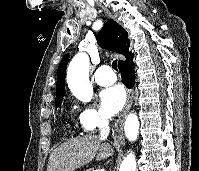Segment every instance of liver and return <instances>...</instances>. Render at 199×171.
<instances>
[{
    "instance_id": "liver-1",
    "label": "liver",
    "mask_w": 199,
    "mask_h": 171,
    "mask_svg": "<svg viewBox=\"0 0 199 171\" xmlns=\"http://www.w3.org/2000/svg\"><path fill=\"white\" fill-rule=\"evenodd\" d=\"M102 141L96 135H85L61 144L50 154L47 171H74L93 160L98 151L97 161L112 156L113 148Z\"/></svg>"
}]
</instances>
